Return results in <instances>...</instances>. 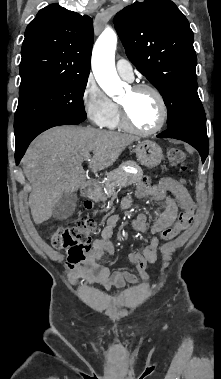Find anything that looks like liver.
I'll use <instances>...</instances> for the list:
<instances>
[{
	"label": "liver",
	"mask_w": 221,
	"mask_h": 379,
	"mask_svg": "<svg viewBox=\"0 0 221 379\" xmlns=\"http://www.w3.org/2000/svg\"><path fill=\"white\" fill-rule=\"evenodd\" d=\"M136 139L89 127H56L38 136L22 159L24 174L32 185L29 205L34 222L49 220L63 193L84 188L82 164L90 152L93 157L89 167L93 171L104 170Z\"/></svg>",
	"instance_id": "obj_1"
}]
</instances>
